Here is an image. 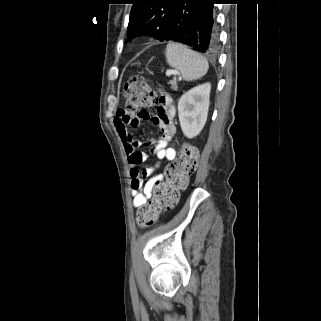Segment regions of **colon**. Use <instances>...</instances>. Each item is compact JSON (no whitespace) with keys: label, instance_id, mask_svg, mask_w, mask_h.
<instances>
[{"label":"colon","instance_id":"5ec220e1","mask_svg":"<svg viewBox=\"0 0 321 321\" xmlns=\"http://www.w3.org/2000/svg\"><path fill=\"white\" fill-rule=\"evenodd\" d=\"M124 96V111L129 113L142 110L158 100L151 82L142 76H135L125 84ZM198 161L199 153L195 146L183 144L180 147L175 162L166 169V181L157 184L154 197L139 208V226L146 228L153 225L163 213L177 204L180 192L186 188L189 177L197 169Z\"/></svg>","mask_w":321,"mask_h":321}]
</instances>
